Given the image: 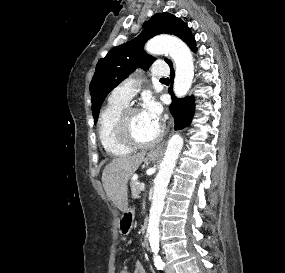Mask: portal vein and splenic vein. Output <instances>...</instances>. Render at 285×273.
<instances>
[{
	"label": "portal vein and splenic vein",
	"instance_id": "obj_1",
	"mask_svg": "<svg viewBox=\"0 0 285 273\" xmlns=\"http://www.w3.org/2000/svg\"><path fill=\"white\" fill-rule=\"evenodd\" d=\"M140 190H144L145 189V184L144 183H141L140 186H139Z\"/></svg>",
	"mask_w": 285,
	"mask_h": 273
}]
</instances>
